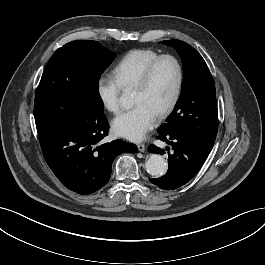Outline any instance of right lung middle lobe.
Wrapping results in <instances>:
<instances>
[{
	"instance_id": "obj_1",
	"label": "right lung middle lobe",
	"mask_w": 265,
	"mask_h": 265,
	"mask_svg": "<svg viewBox=\"0 0 265 265\" xmlns=\"http://www.w3.org/2000/svg\"><path fill=\"white\" fill-rule=\"evenodd\" d=\"M115 54L97 41L78 40L59 48L47 64L34 104L39 137L84 114H103L98 93L101 74Z\"/></svg>"
}]
</instances>
